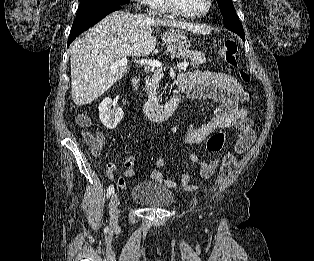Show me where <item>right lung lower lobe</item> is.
<instances>
[{
	"mask_svg": "<svg viewBox=\"0 0 314 261\" xmlns=\"http://www.w3.org/2000/svg\"><path fill=\"white\" fill-rule=\"evenodd\" d=\"M121 9L120 5H111L101 9H98L94 12H91L82 17H76L72 29L68 38V46L72 41L82 32L86 31L96 23H98L102 18H104L109 13Z\"/></svg>",
	"mask_w": 314,
	"mask_h": 261,
	"instance_id": "1",
	"label": "right lung lower lobe"
}]
</instances>
